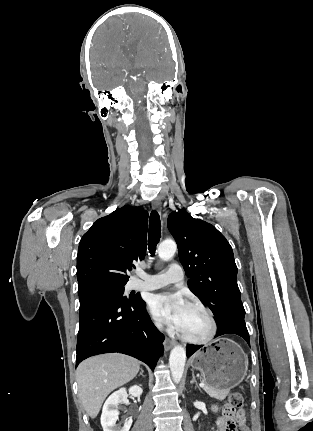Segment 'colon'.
<instances>
[{
	"label": "colon",
	"instance_id": "obj_1",
	"mask_svg": "<svg viewBox=\"0 0 313 431\" xmlns=\"http://www.w3.org/2000/svg\"><path fill=\"white\" fill-rule=\"evenodd\" d=\"M243 406V396L239 392H232L228 396V401L223 407V415L230 418L237 409ZM228 431H236V426L232 423L229 424Z\"/></svg>",
	"mask_w": 313,
	"mask_h": 431
}]
</instances>
